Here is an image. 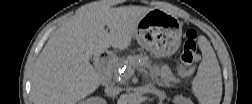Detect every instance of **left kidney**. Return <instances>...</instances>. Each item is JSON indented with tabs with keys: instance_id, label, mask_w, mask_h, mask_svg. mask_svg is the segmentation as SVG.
<instances>
[{
	"instance_id": "left-kidney-1",
	"label": "left kidney",
	"mask_w": 252,
	"mask_h": 104,
	"mask_svg": "<svg viewBox=\"0 0 252 104\" xmlns=\"http://www.w3.org/2000/svg\"><path fill=\"white\" fill-rule=\"evenodd\" d=\"M174 102H175V103H189V100H188V99H185V98H183V97H176V98L174 99Z\"/></svg>"
}]
</instances>
